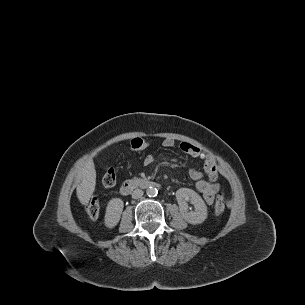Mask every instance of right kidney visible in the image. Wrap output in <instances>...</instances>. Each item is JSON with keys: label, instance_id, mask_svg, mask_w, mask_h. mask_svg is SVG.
Segmentation results:
<instances>
[{"label": "right kidney", "instance_id": "ca27d5eb", "mask_svg": "<svg viewBox=\"0 0 305 305\" xmlns=\"http://www.w3.org/2000/svg\"><path fill=\"white\" fill-rule=\"evenodd\" d=\"M123 207L124 203L120 198H113L108 202L104 219L106 227L114 228L118 224Z\"/></svg>", "mask_w": 305, "mask_h": 305}]
</instances>
